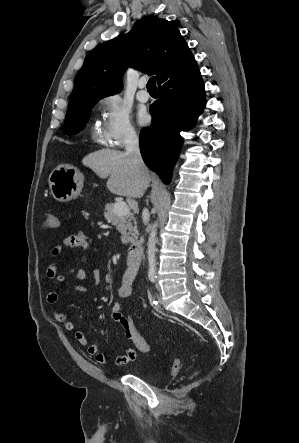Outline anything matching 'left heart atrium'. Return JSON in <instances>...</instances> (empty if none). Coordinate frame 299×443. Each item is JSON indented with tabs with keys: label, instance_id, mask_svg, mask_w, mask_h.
Segmentation results:
<instances>
[{
	"label": "left heart atrium",
	"instance_id": "39dd6f15",
	"mask_svg": "<svg viewBox=\"0 0 299 443\" xmlns=\"http://www.w3.org/2000/svg\"><path fill=\"white\" fill-rule=\"evenodd\" d=\"M137 120H138V123L141 125L146 124L149 120L148 113L143 109L139 110L137 113Z\"/></svg>",
	"mask_w": 299,
	"mask_h": 443
}]
</instances>
